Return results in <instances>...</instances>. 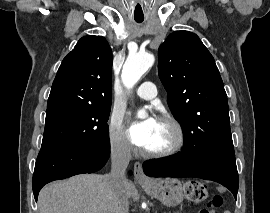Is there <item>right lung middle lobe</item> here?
Listing matches in <instances>:
<instances>
[{
	"instance_id": "obj_1",
	"label": "right lung middle lobe",
	"mask_w": 270,
	"mask_h": 213,
	"mask_svg": "<svg viewBox=\"0 0 270 213\" xmlns=\"http://www.w3.org/2000/svg\"><path fill=\"white\" fill-rule=\"evenodd\" d=\"M110 108L81 105L47 108L41 148L80 147L108 141Z\"/></svg>"
}]
</instances>
